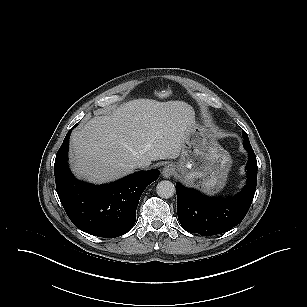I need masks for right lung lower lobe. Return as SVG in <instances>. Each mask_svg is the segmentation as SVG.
Listing matches in <instances>:
<instances>
[{"label": "right lung lower lobe", "instance_id": "right-lung-lower-lobe-1", "mask_svg": "<svg viewBox=\"0 0 307 307\" xmlns=\"http://www.w3.org/2000/svg\"><path fill=\"white\" fill-rule=\"evenodd\" d=\"M70 133L71 130L54 164L57 193L68 217L77 228L90 235L114 238L127 233L135 223L141 194L158 178L159 170L136 172L101 186L78 181L67 163Z\"/></svg>", "mask_w": 307, "mask_h": 307}]
</instances>
